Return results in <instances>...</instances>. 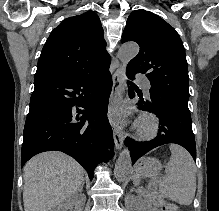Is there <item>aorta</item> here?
I'll return each instance as SVG.
<instances>
[{
	"mask_svg": "<svg viewBox=\"0 0 219 211\" xmlns=\"http://www.w3.org/2000/svg\"><path fill=\"white\" fill-rule=\"evenodd\" d=\"M139 52V46L136 43L129 42L123 44L118 51V58L124 66L132 60ZM132 172V161L128 148H124L119 154L114 168L115 178L119 182L129 180Z\"/></svg>",
	"mask_w": 219,
	"mask_h": 211,
	"instance_id": "762f6f07",
	"label": "aorta"
}]
</instances>
